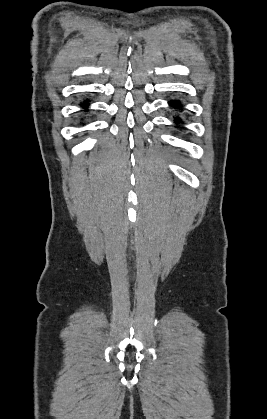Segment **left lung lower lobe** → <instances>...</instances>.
<instances>
[{
  "mask_svg": "<svg viewBox=\"0 0 267 419\" xmlns=\"http://www.w3.org/2000/svg\"><path fill=\"white\" fill-rule=\"evenodd\" d=\"M169 105L172 106L175 110H178V111L181 110V108H182V104L179 100L169 101ZM174 122L176 124L183 123L182 119L179 116L175 117Z\"/></svg>",
  "mask_w": 267,
  "mask_h": 419,
  "instance_id": "left-lung-lower-lobe-1",
  "label": "left lung lower lobe"
}]
</instances>
